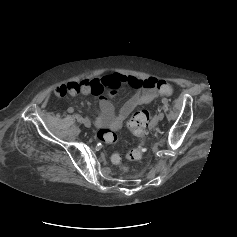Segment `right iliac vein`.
Segmentation results:
<instances>
[{
    "label": "right iliac vein",
    "instance_id": "right-iliac-vein-1",
    "mask_svg": "<svg viewBox=\"0 0 237 237\" xmlns=\"http://www.w3.org/2000/svg\"><path fill=\"white\" fill-rule=\"evenodd\" d=\"M83 123L87 128L91 127V121L88 118H85L83 120Z\"/></svg>",
    "mask_w": 237,
    "mask_h": 237
}]
</instances>
